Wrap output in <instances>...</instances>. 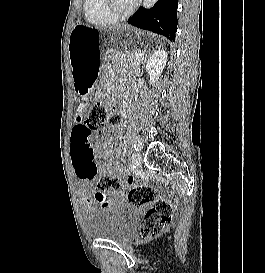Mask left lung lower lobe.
Here are the masks:
<instances>
[{
    "label": "left lung lower lobe",
    "instance_id": "0a47b994",
    "mask_svg": "<svg viewBox=\"0 0 265 273\" xmlns=\"http://www.w3.org/2000/svg\"><path fill=\"white\" fill-rule=\"evenodd\" d=\"M177 8L178 0H158L149 10L140 7L128 20V23L174 41L177 28Z\"/></svg>",
    "mask_w": 265,
    "mask_h": 273
}]
</instances>
